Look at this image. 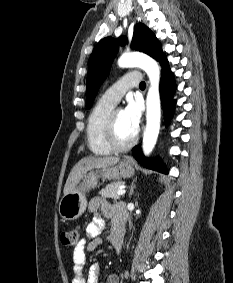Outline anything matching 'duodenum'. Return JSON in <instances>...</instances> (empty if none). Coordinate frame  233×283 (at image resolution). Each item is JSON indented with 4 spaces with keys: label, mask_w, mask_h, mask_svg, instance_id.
Wrapping results in <instances>:
<instances>
[{
    "label": "duodenum",
    "mask_w": 233,
    "mask_h": 283,
    "mask_svg": "<svg viewBox=\"0 0 233 283\" xmlns=\"http://www.w3.org/2000/svg\"><path fill=\"white\" fill-rule=\"evenodd\" d=\"M124 222L120 221L117 223V225L114 228V231L111 235V242L114 246V249L117 253L121 252L123 241H124V235H125V226Z\"/></svg>",
    "instance_id": "duodenum-1"
}]
</instances>
